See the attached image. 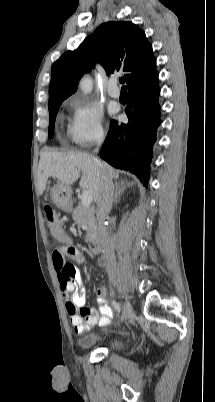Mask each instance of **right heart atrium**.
I'll return each mask as SVG.
<instances>
[{
    "instance_id": "d8ad5b80",
    "label": "right heart atrium",
    "mask_w": 215,
    "mask_h": 402,
    "mask_svg": "<svg viewBox=\"0 0 215 402\" xmlns=\"http://www.w3.org/2000/svg\"><path fill=\"white\" fill-rule=\"evenodd\" d=\"M73 117L68 126V136L80 147L99 141L104 136L101 108L86 99L75 98L70 102Z\"/></svg>"
}]
</instances>
